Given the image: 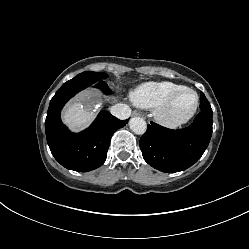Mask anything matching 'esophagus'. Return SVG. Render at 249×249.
<instances>
[{
  "label": "esophagus",
  "instance_id": "obj_1",
  "mask_svg": "<svg viewBox=\"0 0 249 249\" xmlns=\"http://www.w3.org/2000/svg\"><path fill=\"white\" fill-rule=\"evenodd\" d=\"M133 115H134V116H141V113L138 112V111H133Z\"/></svg>",
  "mask_w": 249,
  "mask_h": 249
}]
</instances>
